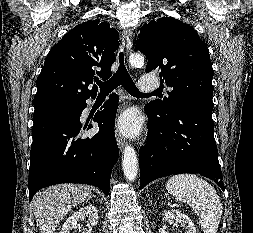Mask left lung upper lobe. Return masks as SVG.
<instances>
[{"instance_id":"5c2ea615","label":"left lung upper lobe","mask_w":253,"mask_h":233,"mask_svg":"<svg viewBox=\"0 0 253 233\" xmlns=\"http://www.w3.org/2000/svg\"><path fill=\"white\" fill-rule=\"evenodd\" d=\"M136 48L148 59L145 71L159 72L162 83L173 88L168 97L149 103L162 121L190 105L213 108L209 50L190 25L172 17L151 20L140 28Z\"/></svg>"}]
</instances>
